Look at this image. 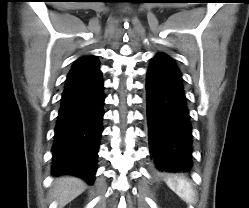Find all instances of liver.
Returning a JSON list of instances; mask_svg holds the SVG:
<instances>
[{"instance_id": "liver-1", "label": "liver", "mask_w": 249, "mask_h": 208, "mask_svg": "<svg viewBox=\"0 0 249 208\" xmlns=\"http://www.w3.org/2000/svg\"><path fill=\"white\" fill-rule=\"evenodd\" d=\"M86 188L85 183L76 177L65 176L55 180L53 188V197L60 208H63Z\"/></svg>"}]
</instances>
